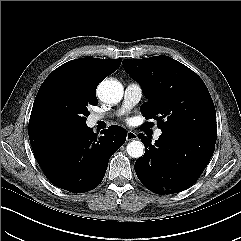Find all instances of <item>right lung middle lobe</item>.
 Wrapping results in <instances>:
<instances>
[{"label": "right lung middle lobe", "mask_w": 241, "mask_h": 241, "mask_svg": "<svg viewBox=\"0 0 241 241\" xmlns=\"http://www.w3.org/2000/svg\"><path fill=\"white\" fill-rule=\"evenodd\" d=\"M88 101L62 82L39 89L29 121V138L72 130L86 125Z\"/></svg>", "instance_id": "obj_1"}]
</instances>
